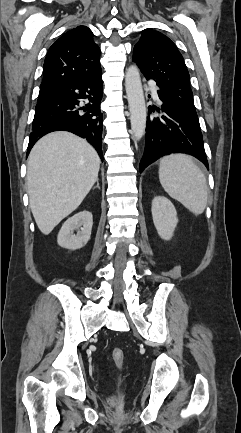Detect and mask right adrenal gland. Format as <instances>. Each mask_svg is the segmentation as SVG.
<instances>
[{
  "label": "right adrenal gland",
  "mask_w": 241,
  "mask_h": 433,
  "mask_svg": "<svg viewBox=\"0 0 241 433\" xmlns=\"http://www.w3.org/2000/svg\"><path fill=\"white\" fill-rule=\"evenodd\" d=\"M96 182H97V184H96V186H95L93 189H95V188L100 189V186H99V180L97 179Z\"/></svg>",
  "instance_id": "right-adrenal-gland-1"
}]
</instances>
